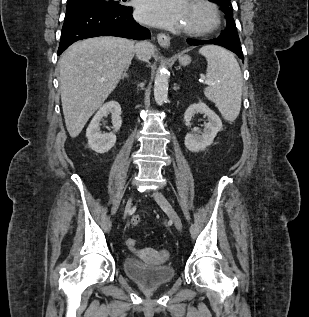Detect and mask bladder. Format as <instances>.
Wrapping results in <instances>:
<instances>
[{
	"instance_id": "1",
	"label": "bladder",
	"mask_w": 309,
	"mask_h": 317,
	"mask_svg": "<svg viewBox=\"0 0 309 317\" xmlns=\"http://www.w3.org/2000/svg\"><path fill=\"white\" fill-rule=\"evenodd\" d=\"M123 267L125 274L144 289H156L168 284L175 275L168 265L150 264L135 257H127Z\"/></svg>"
}]
</instances>
